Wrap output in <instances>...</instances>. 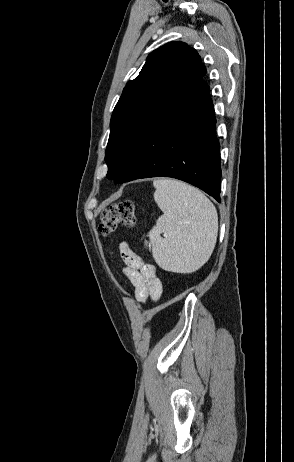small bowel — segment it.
Masks as SVG:
<instances>
[{
	"mask_svg": "<svg viewBox=\"0 0 294 462\" xmlns=\"http://www.w3.org/2000/svg\"><path fill=\"white\" fill-rule=\"evenodd\" d=\"M119 251L125 264L123 273L132 283L136 299L141 303L156 301L161 295L162 284L155 266L146 264L127 242L120 243Z\"/></svg>",
	"mask_w": 294,
	"mask_h": 462,
	"instance_id": "small-bowel-1",
	"label": "small bowel"
}]
</instances>
